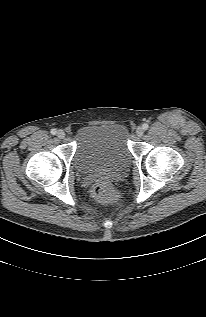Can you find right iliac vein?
I'll list each match as a JSON object with an SVG mask.
<instances>
[{"label":"right iliac vein","instance_id":"obj_1","mask_svg":"<svg viewBox=\"0 0 206 317\" xmlns=\"http://www.w3.org/2000/svg\"><path fill=\"white\" fill-rule=\"evenodd\" d=\"M65 132L63 130H58L57 132V137L60 138V139H63L65 138Z\"/></svg>","mask_w":206,"mask_h":317}]
</instances>
